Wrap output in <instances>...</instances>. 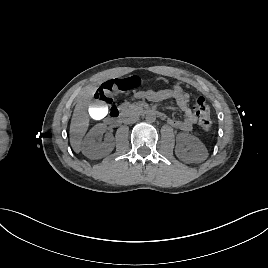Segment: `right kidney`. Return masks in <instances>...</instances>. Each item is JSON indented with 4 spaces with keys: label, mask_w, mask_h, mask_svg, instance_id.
<instances>
[{
    "label": "right kidney",
    "mask_w": 268,
    "mask_h": 268,
    "mask_svg": "<svg viewBox=\"0 0 268 268\" xmlns=\"http://www.w3.org/2000/svg\"><path fill=\"white\" fill-rule=\"evenodd\" d=\"M106 129V125L97 124L88 132L81 145V151L86 157L100 159L112 152L114 141L111 135H107L103 142L97 141Z\"/></svg>",
    "instance_id": "right-kidney-1"
}]
</instances>
